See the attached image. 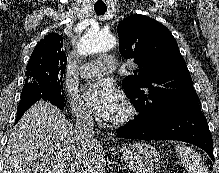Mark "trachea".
I'll return each mask as SVG.
<instances>
[{
	"label": "trachea",
	"instance_id": "trachea-1",
	"mask_svg": "<svg viewBox=\"0 0 219 173\" xmlns=\"http://www.w3.org/2000/svg\"><path fill=\"white\" fill-rule=\"evenodd\" d=\"M94 10L97 15H103L107 11L106 6H94Z\"/></svg>",
	"mask_w": 219,
	"mask_h": 173
}]
</instances>
